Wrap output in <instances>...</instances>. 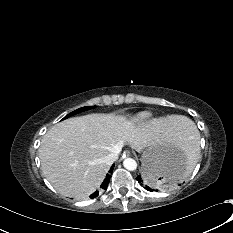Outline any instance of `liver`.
I'll list each match as a JSON object with an SVG mask.
<instances>
[{
    "instance_id": "6515ba94",
    "label": "liver",
    "mask_w": 233,
    "mask_h": 233,
    "mask_svg": "<svg viewBox=\"0 0 233 233\" xmlns=\"http://www.w3.org/2000/svg\"><path fill=\"white\" fill-rule=\"evenodd\" d=\"M184 119L168 112L145 123L113 114L64 120L52 126L41 140L43 174L60 194L86 198L108 172L110 165L104 162L108 154L121 150L124 143L138 152L154 142L169 143L174 132L182 128Z\"/></svg>"
}]
</instances>
